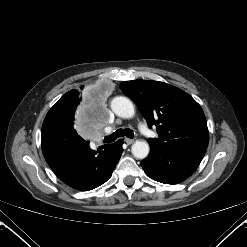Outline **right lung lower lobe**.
<instances>
[{
  "label": "right lung lower lobe",
  "mask_w": 247,
  "mask_h": 247,
  "mask_svg": "<svg viewBox=\"0 0 247 247\" xmlns=\"http://www.w3.org/2000/svg\"><path fill=\"white\" fill-rule=\"evenodd\" d=\"M123 141L104 145L95 152L72 125L45 119L41 131V147L45 160L55 174L68 186L92 190L112 175L123 152Z\"/></svg>",
  "instance_id": "obj_1"
}]
</instances>
